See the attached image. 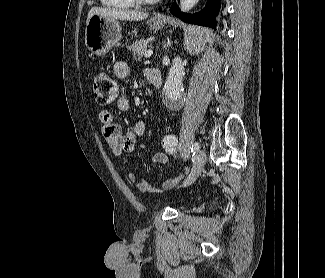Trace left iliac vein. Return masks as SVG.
<instances>
[{"instance_id":"left-iliac-vein-1","label":"left iliac vein","mask_w":325,"mask_h":278,"mask_svg":"<svg viewBox=\"0 0 325 278\" xmlns=\"http://www.w3.org/2000/svg\"><path fill=\"white\" fill-rule=\"evenodd\" d=\"M205 162L206 155L202 150H200L196 155L195 162L193 164V168L190 175L185 179L182 184L183 186H189L197 179L205 165Z\"/></svg>"}]
</instances>
